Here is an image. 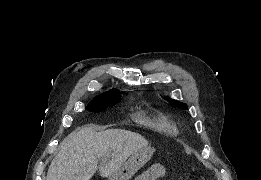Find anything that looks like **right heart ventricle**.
Here are the masks:
<instances>
[{"label": "right heart ventricle", "mask_w": 261, "mask_h": 180, "mask_svg": "<svg viewBox=\"0 0 261 180\" xmlns=\"http://www.w3.org/2000/svg\"><path fill=\"white\" fill-rule=\"evenodd\" d=\"M133 120L143 121V126H136L142 133H167V138L159 139H174L180 135L178 126L162 112H139Z\"/></svg>", "instance_id": "1"}]
</instances>
